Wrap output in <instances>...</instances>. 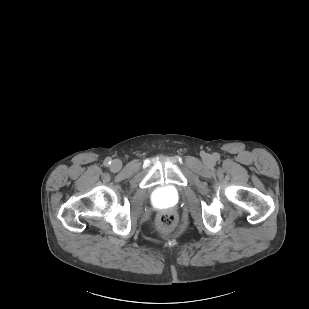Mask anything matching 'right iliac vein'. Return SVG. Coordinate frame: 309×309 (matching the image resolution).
I'll return each mask as SVG.
<instances>
[{
	"mask_svg": "<svg viewBox=\"0 0 309 309\" xmlns=\"http://www.w3.org/2000/svg\"><path fill=\"white\" fill-rule=\"evenodd\" d=\"M110 167H111L112 171L117 172L122 168V162L120 160L116 159V160L112 161Z\"/></svg>",
	"mask_w": 309,
	"mask_h": 309,
	"instance_id": "1",
	"label": "right iliac vein"
}]
</instances>
